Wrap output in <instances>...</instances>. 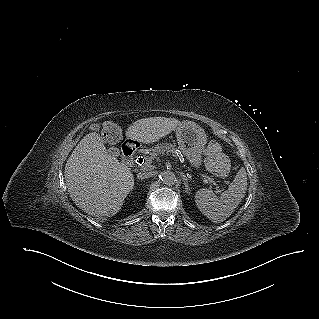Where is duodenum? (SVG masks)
I'll use <instances>...</instances> for the list:
<instances>
[{
  "label": "duodenum",
  "instance_id": "1",
  "mask_svg": "<svg viewBox=\"0 0 319 319\" xmlns=\"http://www.w3.org/2000/svg\"><path fill=\"white\" fill-rule=\"evenodd\" d=\"M137 145L133 142H125L122 145L123 161L128 166H136L142 162V158L136 153Z\"/></svg>",
  "mask_w": 319,
  "mask_h": 319
}]
</instances>
